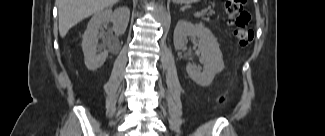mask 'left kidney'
<instances>
[{
  "instance_id": "left-kidney-1",
  "label": "left kidney",
  "mask_w": 325,
  "mask_h": 136,
  "mask_svg": "<svg viewBox=\"0 0 325 136\" xmlns=\"http://www.w3.org/2000/svg\"><path fill=\"white\" fill-rule=\"evenodd\" d=\"M188 37L198 39V49L201 52L203 70L190 63L186 66L188 76L198 85L209 86L216 74L224 69L222 52L217 39L203 23L193 24L180 20L174 30V46L177 50L186 48Z\"/></svg>"
}]
</instances>
